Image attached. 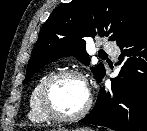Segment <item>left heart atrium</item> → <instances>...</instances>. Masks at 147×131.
Segmentation results:
<instances>
[{"instance_id":"obj_1","label":"left heart atrium","mask_w":147,"mask_h":131,"mask_svg":"<svg viewBox=\"0 0 147 131\" xmlns=\"http://www.w3.org/2000/svg\"><path fill=\"white\" fill-rule=\"evenodd\" d=\"M87 86V85H86ZM87 91H88V94H89V88H88V86H87Z\"/></svg>"}]
</instances>
